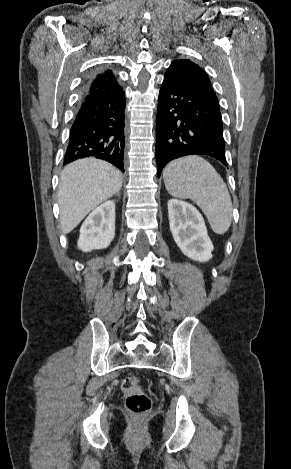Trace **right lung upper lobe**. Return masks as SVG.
<instances>
[{
    "label": "right lung upper lobe",
    "instance_id": "1",
    "mask_svg": "<svg viewBox=\"0 0 291 469\" xmlns=\"http://www.w3.org/2000/svg\"><path fill=\"white\" fill-rule=\"evenodd\" d=\"M115 76L111 70L100 71L90 77V83L86 90L92 91L95 89L106 88V87H118Z\"/></svg>",
    "mask_w": 291,
    "mask_h": 469
}]
</instances>
